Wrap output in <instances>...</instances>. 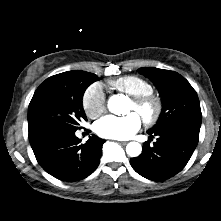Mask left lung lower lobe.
Returning <instances> with one entry per match:
<instances>
[{
    "instance_id": "0a47b994",
    "label": "left lung lower lobe",
    "mask_w": 221,
    "mask_h": 221,
    "mask_svg": "<svg viewBox=\"0 0 221 221\" xmlns=\"http://www.w3.org/2000/svg\"><path fill=\"white\" fill-rule=\"evenodd\" d=\"M199 131L200 126L183 121L171 123L157 131H148V134L158 137L157 141L153 146H150V141L145 142L142 153L130 159L131 166L149 180L171 178L191 158L198 144Z\"/></svg>"
}]
</instances>
